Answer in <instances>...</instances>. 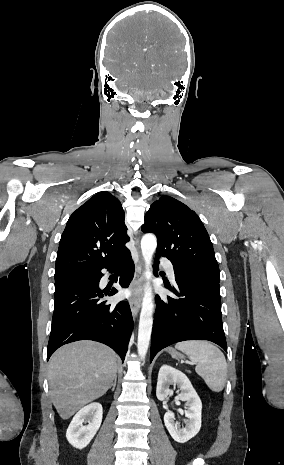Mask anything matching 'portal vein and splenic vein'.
Instances as JSON below:
<instances>
[{"label": "portal vein and splenic vein", "instance_id": "portal-vein-and-splenic-vein-1", "mask_svg": "<svg viewBox=\"0 0 284 465\" xmlns=\"http://www.w3.org/2000/svg\"><path fill=\"white\" fill-rule=\"evenodd\" d=\"M189 365H196V363H189Z\"/></svg>", "mask_w": 284, "mask_h": 465}]
</instances>
